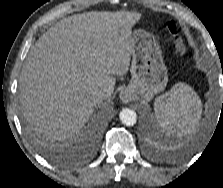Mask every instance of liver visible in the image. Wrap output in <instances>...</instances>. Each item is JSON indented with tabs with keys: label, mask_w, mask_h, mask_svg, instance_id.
I'll use <instances>...</instances> for the list:
<instances>
[{
	"label": "liver",
	"mask_w": 223,
	"mask_h": 188,
	"mask_svg": "<svg viewBox=\"0 0 223 188\" xmlns=\"http://www.w3.org/2000/svg\"><path fill=\"white\" fill-rule=\"evenodd\" d=\"M140 13L88 12L51 26L31 47L19 79L23 115L38 134L65 140L94 112L91 92L127 74Z\"/></svg>",
	"instance_id": "liver-1"
}]
</instances>
